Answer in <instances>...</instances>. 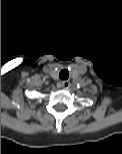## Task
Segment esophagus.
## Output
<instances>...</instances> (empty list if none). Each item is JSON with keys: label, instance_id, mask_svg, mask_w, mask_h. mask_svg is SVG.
Instances as JSON below:
<instances>
[{"label": "esophagus", "instance_id": "esophagus-1", "mask_svg": "<svg viewBox=\"0 0 122 154\" xmlns=\"http://www.w3.org/2000/svg\"><path fill=\"white\" fill-rule=\"evenodd\" d=\"M61 86H62L63 88H65V89H67V88H69V86H70V82L67 81V80H64V81L61 82Z\"/></svg>", "mask_w": 122, "mask_h": 154}]
</instances>
